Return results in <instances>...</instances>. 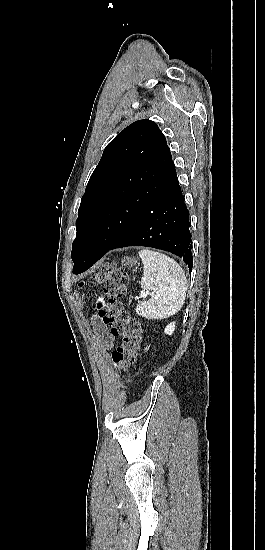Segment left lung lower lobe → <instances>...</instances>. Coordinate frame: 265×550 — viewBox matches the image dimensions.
Masks as SVG:
<instances>
[{"label": "left lung lower lobe", "mask_w": 265, "mask_h": 550, "mask_svg": "<svg viewBox=\"0 0 265 550\" xmlns=\"http://www.w3.org/2000/svg\"><path fill=\"white\" fill-rule=\"evenodd\" d=\"M189 226L188 209L176 176L109 249L90 252L73 273L86 271L109 250L127 246H148L171 252L181 257L191 271L193 257Z\"/></svg>", "instance_id": "0a47b994"}]
</instances>
